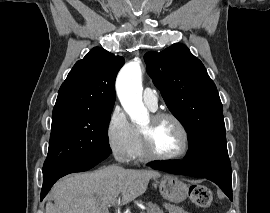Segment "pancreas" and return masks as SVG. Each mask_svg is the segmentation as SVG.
I'll return each mask as SVG.
<instances>
[{
	"label": "pancreas",
	"instance_id": "obj_1",
	"mask_svg": "<svg viewBox=\"0 0 270 213\" xmlns=\"http://www.w3.org/2000/svg\"><path fill=\"white\" fill-rule=\"evenodd\" d=\"M141 213H163V210H161L158 205L150 202L147 204L146 211L141 212Z\"/></svg>",
	"mask_w": 270,
	"mask_h": 213
}]
</instances>
